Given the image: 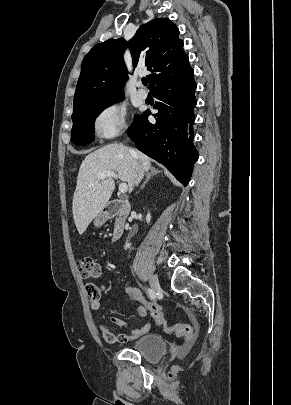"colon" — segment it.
<instances>
[{
    "label": "colon",
    "instance_id": "1",
    "mask_svg": "<svg viewBox=\"0 0 291 405\" xmlns=\"http://www.w3.org/2000/svg\"><path fill=\"white\" fill-rule=\"evenodd\" d=\"M79 272L83 278H98L101 275L100 264L90 255H82L79 258ZM128 292L139 302L144 304L150 314V318L158 325L162 326L168 334H174L178 338L188 342L194 338V329L191 325L177 323L168 325L163 310L158 303L147 301L142 294L133 287H128ZM87 292L91 300L99 298L100 289L97 285L90 283L87 285Z\"/></svg>",
    "mask_w": 291,
    "mask_h": 405
}]
</instances>
